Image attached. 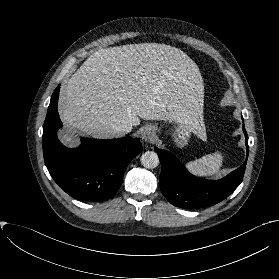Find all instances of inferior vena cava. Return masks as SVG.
Listing matches in <instances>:
<instances>
[{
	"mask_svg": "<svg viewBox=\"0 0 279 279\" xmlns=\"http://www.w3.org/2000/svg\"><path fill=\"white\" fill-rule=\"evenodd\" d=\"M131 130H132V125H125L120 129L123 135L129 133Z\"/></svg>",
	"mask_w": 279,
	"mask_h": 279,
	"instance_id": "602c4592",
	"label": "inferior vena cava"
}]
</instances>
